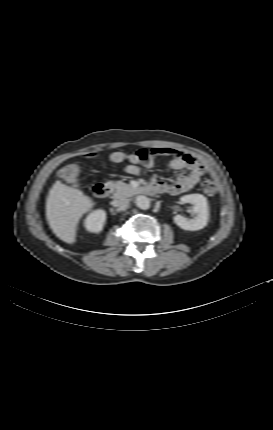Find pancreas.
<instances>
[{"label":"pancreas","mask_w":273,"mask_h":430,"mask_svg":"<svg viewBox=\"0 0 273 430\" xmlns=\"http://www.w3.org/2000/svg\"><path fill=\"white\" fill-rule=\"evenodd\" d=\"M113 187L115 193L114 198L119 199L123 197H130L133 195L135 188L131 185L124 183L123 181H110L108 182Z\"/></svg>","instance_id":"1"}]
</instances>
